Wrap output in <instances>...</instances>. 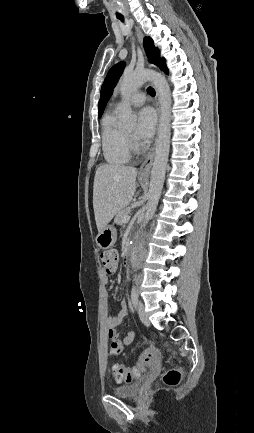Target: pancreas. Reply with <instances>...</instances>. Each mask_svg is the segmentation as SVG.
<instances>
[{
	"instance_id": "1",
	"label": "pancreas",
	"mask_w": 254,
	"mask_h": 433,
	"mask_svg": "<svg viewBox=\"0 0 254 433\" xmlns=\"http://www.w3.org/2000/svg\"><path fill=\"white\" fill-rule=\"evenodd\" d=\"M131 213V209L129 207H125L123 209H121L119 212H117L116 217L114 219V222L117 225H123V217L124 216H129V214Z\"/></svg>"
}]
</instances>
